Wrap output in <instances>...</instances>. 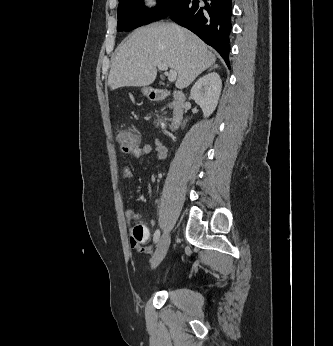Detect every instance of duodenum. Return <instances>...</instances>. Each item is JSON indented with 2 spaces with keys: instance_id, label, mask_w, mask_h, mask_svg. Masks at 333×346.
I'll return each instance as SVG.
<instances>
[{
  "instance_id": "1",
  "label": "duodenum",
  "mask_w": 333,
  "mask_h": 346,
  "mask_svg": "<svg viewBox=\"0 0 333 346\" xmlns=\"http://www.w3.org/2000/svg\"><path fill=\"white\" fill-rule=\"evenodd\" d=\"M167 96H168V92L163 89H154L150 94V98L153 101L163 100ZM172 96H173V101L171 105L172 115H171V123H170L169 131H175L181 124L184 117V108L186 103V97L182 91L180 90L174 91Z\"/></svg>"
}]
</instances>
